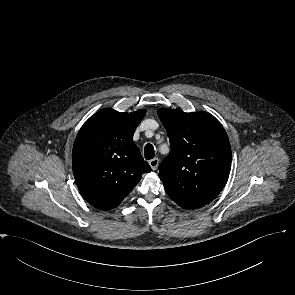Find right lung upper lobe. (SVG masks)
<instances>
[{"instance_id":"cb5924a9","label":"right lung upper lobe","mask_w":295,"mask_h":295,"mask_svg":"<svg viewBox=\"0 0 295 295\" xmlns=\"http://www.w3.org/2000/svg\"><path fill=\"white\" fill-rule=\"evenodd\" d=\"M144 109L119 113L105 108L90 117L76 137L72 157L77 186L87 202L98 209L117 207L151 171L132 142Z\"/></svg>"}]
</instances>
